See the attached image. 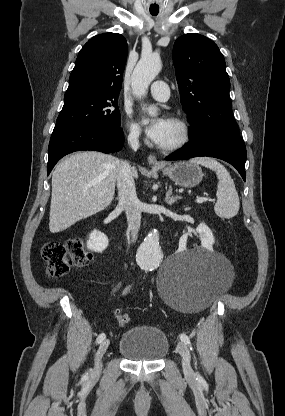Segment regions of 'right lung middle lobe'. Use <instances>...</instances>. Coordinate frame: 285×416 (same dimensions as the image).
<instances>
[{
  "instance_id": "right-lung-middle-lobe-1",
  "label": "right lung middle lobe",
  "mask_w": 285,
  "mask_h": 416,
  "mask_svg": "<svg viewBox=\"0 0 285 416\" xmlns=\"http://www.w3.org/2000/svg\"><path fill=\"white\" fill-rule=\"evenodd\" d=\"M118 96L81 97L65 95V103L55 128L59 127H96L107 129L120 128Z\"/></svg>"
}]
</instances>
